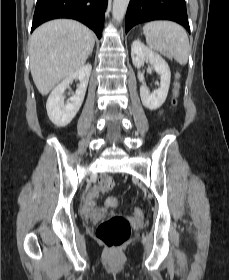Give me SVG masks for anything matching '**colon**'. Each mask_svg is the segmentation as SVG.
Listing matches in <instances>:
<instances>
[{
  "label": "colon",
  "instance_id": "5ec220e1",
  "mask_svg": "<svg viewBox=\"0 0 229 280\" xmlns=\"http://www.w3.org/2000/svg\"><path fill=\"white\" fill-rule=\"evenodd\" d=\"M179 88L180 85L176 82L172 100L174 106L177 104ZM100 185L103 189L111 190L115 187V182L110 176L105 175L102 177ZM133 213L136 216L143 214L142 210L138 208L134 209ZM130 235L131 227L128 219L119 215H113L103 219L96 230L97 239L110 250L121 248L128 241Z\"/></svg>",
  "mask_w": 229,
  "mask_h": 280
}]
</instances>
